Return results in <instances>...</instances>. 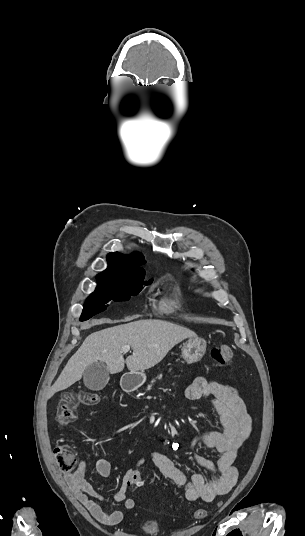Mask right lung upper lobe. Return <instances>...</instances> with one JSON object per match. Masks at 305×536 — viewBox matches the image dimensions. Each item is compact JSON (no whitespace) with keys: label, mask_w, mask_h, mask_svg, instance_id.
<instances>
[{"label":"right lung upper lobe","mask_w":305,"mask_h":536,"mask_svg":"<svg viewBox=\"0 0 305 536\" xmlns=\"http://www.w3.org/2000/svg\"><path fill=\"white\" fill-rule=\"evenodd\" d=\"M107 261V269L96 276L97 280L127 281L144 279L145 277V270L139 267L145 263V260L138 252L129 256L112 252L107 255Z\"/></svg>","instance_id":"1"}]
</instances>
